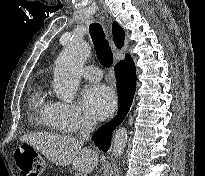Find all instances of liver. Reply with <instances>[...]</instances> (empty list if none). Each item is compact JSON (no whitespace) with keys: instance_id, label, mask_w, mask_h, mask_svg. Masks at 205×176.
<instances>
[{"instance_id":"6515ba94","label":"liver","mask_w":205,"mask_h":176,"mask_svg":"<svg viewBox=\"0 0 205 176\" xmlns=\"http://www.w3.org/2000/svg\"><path fill=\"white\" fill-rule=\"evenodd\" d=\"M20 140L34 147L49 161L59 166L72 164V168L79 173H90L98 163L96 152L84 148L83 143L71 136L33 133L22 136Z\"/></svg>"}]
</instances>
